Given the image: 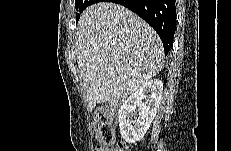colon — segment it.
Wrapping results in <instances>:
<instances>
[{
    "label": "colon",
    "mask_w": 231,
    "mask_h": 151,
    "mask_svg": "<svg viewBox=\"0 0 231 151\" xmlns=\"http://www.w3.org/2000/svg\"><path fill=\"white\" fill-rule=\"evenodd\" d=\"M94 126L96 135L101 143L99 147L102 151H126L127 147L119 143L113 146L114 143V119L115 112L112 109H99L94 115ZM97 151V149H95Z\"/></svg>",
    "instance_id": "1"
}]
</instances>
